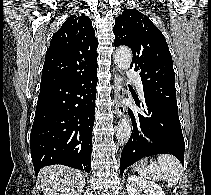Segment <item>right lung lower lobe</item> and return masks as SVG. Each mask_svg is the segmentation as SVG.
<instances>
[{
    "label": "right lung lower lobe",
    "instance_id": "98d812e1",
    "mask_svg": "<svg viewBox=\"0 0 211 195\" xmlns=\"http://www.w3.org/2000/svg\"><path fill=\"white\" fill-rule=\"evenodd\" d=\"M97 81L96 68L40 87L30 136L36 176L53 164L90 173Z\"/></svg>",
    "mask_w": 211,
    "mask_h": 195
}]
</instances>
